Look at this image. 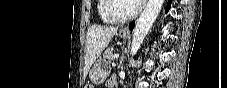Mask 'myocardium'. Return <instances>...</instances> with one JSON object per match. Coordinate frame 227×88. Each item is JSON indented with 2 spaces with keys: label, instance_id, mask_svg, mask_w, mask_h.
Wrapping results in <instances>:
<instances>
[{
  "label": "myocardium",
  "instance_id": "f54148a6",
  "mask_svg": "<svg viewBox=\"0 0 227 88\" xmlns=\"http://www.w3.org/2000/svg\"><path fill=\"white\" fill-rule=\"evenodd\" d=\"M116 0H106V5H105V11L107 15L115 22V23H124L127 21H130L132 19H135L142 11V6L141 5H136L135 10L127 15V16H117L114 11H113V4Z\"/></svg>",
  "mask_w": 227,
  "mask_h": 88
}]
</instances>
